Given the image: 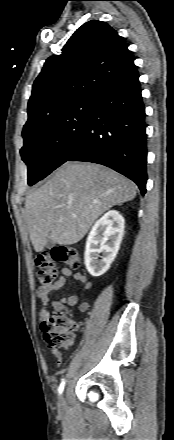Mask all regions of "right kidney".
Returning a JSON list of instances; mask_svg holds the SVG:
<instances>
[{
    "label": "right kidney",
    "mask_w": 174,
    "mask_h": 440,
    "mask_svg": "<svg viewBox=\"0 0 174 440\" xmlns=\"http://www.w3.org/2000/svg\"><path fill=\"white\" fill-rule=\"evenodd\" d=\"M125 220L116 210L105 213L93 225L85 247V266L92 276L103 275L114 261L124 234ZM99 253H103L98 260Z\"/></svg>",
    "instance_id": "ca27d5eb"
}]
</instances>
